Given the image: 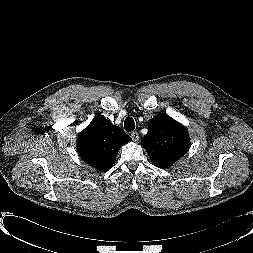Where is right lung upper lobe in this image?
Listing matches in <instances>:
<instances>
[{
	"label": "right lung upper lobe",
	"mask_w": 253,
	"mask_h": 253,
	"mask_svg": "<svg viewBox=\"0 0 253 253\" xmlns=\"http://www.w3.org/2000/svg\"><path fill=\"white\" fill-rule=\"evenodd\" d=\"M131 140L120 127L104 117L96 118L78 136L79 156L99 171L109 170L121 146Z\"/></svg>",
	"instance_id": "1"
}]
</instances>
